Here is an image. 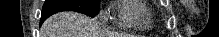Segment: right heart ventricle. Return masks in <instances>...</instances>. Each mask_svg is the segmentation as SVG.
Instances as JSON below:
<instances>
[{"label":"right heart ventricle","mask_w":219,"mask_h":37,"mask_svg":"<svg viewBox=\"0 0 219 37\" xmlns=\"http://www.w3.org/2000/svg\"><path fill=\"white\" fill-rule=\"evenodd\" d=\"M155 13L148 1L126 0L119 8L118 24L122 27H147Z\"/></svg>","instance_id":"right-heart-ventricle-1"}]
</instances>
